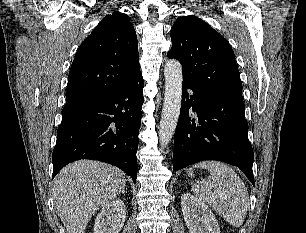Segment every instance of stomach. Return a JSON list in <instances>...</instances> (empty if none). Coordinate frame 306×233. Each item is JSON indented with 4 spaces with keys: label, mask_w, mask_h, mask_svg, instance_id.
<instances>
[{
    "label": "stomach",
    "mask_w": 306,
    "mask_h": 233,
    "mask_svg": "<svg viewBox=\"0 0 306 233\" xmlns=\"http://www.w3.org/2000/svg\"><path fill=\"white\" fill-rule=\"evenodd\" d=\"M188 176H194V172L192 169L187 170Z\"/></svg>",
    "instance_id": "0dacf381"
}]
</instances>
